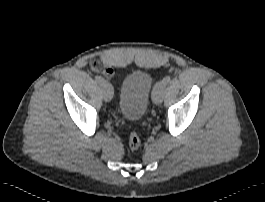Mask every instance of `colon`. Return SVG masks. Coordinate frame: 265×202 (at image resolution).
I'll return each instance as SVG.
<instances>
[{
	"mask_svg": "<svg viewBox=\"0 0 265 202\" xmlns=\"http://www.w3.org/2000/svg\"><path fill=\"white\" fill-rule=\"evenodd\" d=\"M141 145V140L139 138V136L136 133H132L129 136V146L132 150H137L140 148Z\"/></svg>",
	"mask_w": 265,
	"mask_h": 202,
	"instance_id": "colon-1",
	"label": "colon"
}]
</instances>
